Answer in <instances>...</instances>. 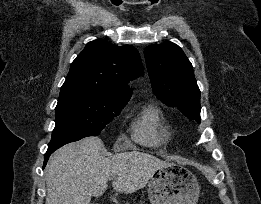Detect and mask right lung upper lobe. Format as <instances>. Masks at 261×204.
<instances>
[{
	"mask_svg": "<svg viewBox=\"0 0 261 204\" xmlns=\"http://www.w3.org/2000/svg\"><path fill=\"white\" fill-rule=\"evenodd\" d=\"M142 74L137 49L97 39L87 43L72 62L60 95L87 92L106 102H128L131 91L127 83Z\"/></svg>",
	"mask_w": 261,
	"mask_h": 204,
	"instance_id": "cb5924a9",
	"label": "right lung upper lobe"
}]
</instances>
